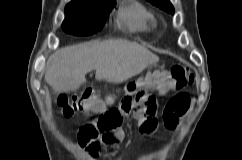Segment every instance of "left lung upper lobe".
<instances>
[{"label": "left lung upper lobe", "instance_id": "5c2ea615", "mask_svg": "<svg viewBox=\"0 0 242 160\" xmlns=\"http://www.w3.org/2000/svg\"><path fill=\"white\" fill-rule=\"evenodd\" d=\"M149 2H151L153 5L158 6L159 8L174 14V7L172 6V4L169 2V0H148Z\"/></svg>", "mask_w": 242, "mask_h": 160}]
</instances>
